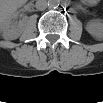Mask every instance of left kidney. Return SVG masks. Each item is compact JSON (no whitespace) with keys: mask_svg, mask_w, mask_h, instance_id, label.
Segmentation results:
<instances>
[{"mask_svg":"<svg viewBox=\"0 0 103 103\" xmlns=\"http://www.w3.org/2000/svg\"><path fill=\"white\" fill-rule=\"evenodd\" d=\"M87 31H88L92 36L97 37V38L101 37L102 34H103L102 28L95 29V28H93V27H91V26H88V27H87Z\"/></svg>","mask_w":103,"mask_h":103,"instance_id":"5707ae66","label":"left kidney"}]
</instances>
